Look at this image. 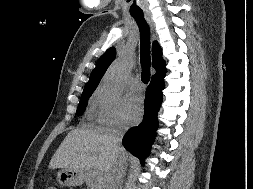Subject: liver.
Returning a JSON list of instances; mask_svg holds the SVG:
<instances>
[{"label": "liver", "instance_id": "liver-1", "mask_svg": "<svg viewBox=\"0 0 253 189\" xmlns=\"http://www.w3.org/2000/svg\"><path fill=\"white\" fill-rule=\"evenodd\" d=\"M127 151L114 148L112 138L92 129L77 128L67 134L53 155L49 168L90 171L96 169L103 180L120 159L128 160Z\"/></svg>", "mask_w": 253, "mask_h": 189}]
</instances>
